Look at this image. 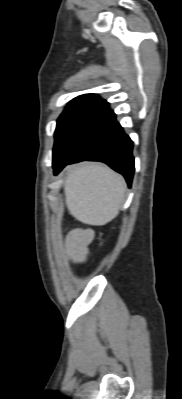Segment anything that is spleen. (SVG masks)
Returning <instances> with one entry per match:
<instances>
[{"label": "spleen", "instance_id": "obj_1", "mask_svg": "<svg viewBox=\"0 0 182 399\" xmlns=\"http://www.w3.org/2000/svg\"><path fill=\"white\" fill-rule=\"evenodd\" d=\"M125 189L121 175L105 165L87 163L70 173L64 192L71 215L86 224L104 225L118 215Z\"/></svg>", "mask_w": 182, "mask_h": 399}]
</instances>
